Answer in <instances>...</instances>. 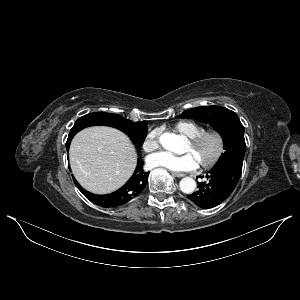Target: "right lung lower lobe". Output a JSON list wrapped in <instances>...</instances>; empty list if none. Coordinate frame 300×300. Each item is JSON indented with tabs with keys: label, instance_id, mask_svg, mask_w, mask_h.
<instances>
[{
	"label": "right lung lower lobe",
	"instance_id": "1",
	"mask_svg": "<svg viewBox=\"0 0 300 300\" xmlns=\"http://www.w3.org/2000/svg\"><path fill=\"white\" fill-rule=\"evenodd\" d=\"M69 145L70 141L66 144L67 150L69 149ZM148 176L149 172H144L143 170V161L138 159L137 167L132 177L123 187L113 193L96 195L84 190L75 179L74 182L85 197L94 204L102 207H118L134 199L143 191L147 185Z\"/></svg>",
	"mask_w": 300,
	"mask_h": 300
}]
</instances>
